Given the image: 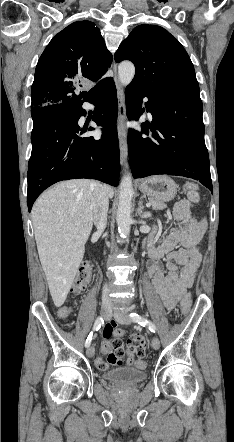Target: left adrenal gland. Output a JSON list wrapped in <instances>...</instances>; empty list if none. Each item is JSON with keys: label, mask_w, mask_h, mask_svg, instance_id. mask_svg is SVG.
<instances>
[{"label": "left adrenal gland", "mask_w": 234, "mask_h": 442, "mask_svg": "<svg viewBox=\"0 0 234 442\" xmlns=\"http://www.w3.org/2000/svg\"><path fill=\"white\" fill-rule=\"evenodd\" d=\"M143 206H142V202H139V208H138V214L141 218H151V213L150 212H143Z\"/></svg>", "instance_id": "obj_1"}]
</instances>
